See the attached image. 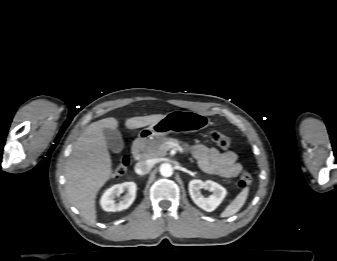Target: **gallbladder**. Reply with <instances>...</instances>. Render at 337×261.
Wrapping results in <instances>:
<instances>
[{
	"label": "gallbladder",
	"mask_w": 337,
	"mask_h": 261,
	"mask_svg": "<svg viewBox=\"0 0 337 261\" xmlns=\"http://www.w3.org/2000/svg\"><path fill=\"white\" fill-rule=\"evenodd\" d=\"M104 137L108 147L115 153H119L124 149V142L118 130L104 129Z\"/></svg>",
	"instance_id": "bac80fb5"
}]
</instances>
